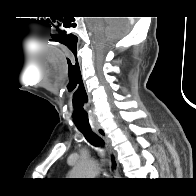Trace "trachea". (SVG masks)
I'll return each mask as SVG.
<instances>
[{
    "mask_svg": "<svg viewBox=\"0 0 196 196\" xmlns=\"http://www.w3.org/2000/svg\"><path fill=\"white\" fill-rule=\"evenodd\" d=\"M81 133H83L86 140L96 147H104L103 139L97 135L90 127L88 128H78Z\"/></svg>",
    "mask_w": 196,
    "mask_h": 196,
    "instance_id": "trachea-1",
    "label": "trachea"
}]
</instances>
